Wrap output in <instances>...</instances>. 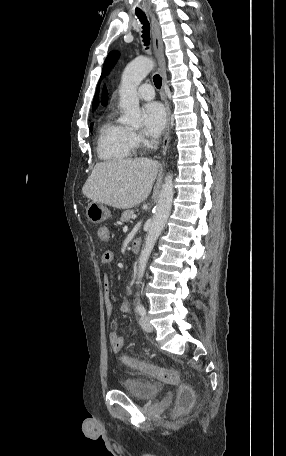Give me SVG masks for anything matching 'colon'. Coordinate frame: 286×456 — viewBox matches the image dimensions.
<instances>
[{
    "mask_svg": "<svg viewBox=\"0 0 286 456\" xmlns=\"http://www.w3.org/2000/svg\"><path fill=\"white\" fill-rule=\"evenodd\" d=\"M123 362L133 368L138 369L142 373L154 377L162 382L180 385L179 374L173 369H167L156 366L154 364L135 359L130 356H124ZM178 405L183 408H189L193 403V392L189 387L181 386L177 396Z\"/></svg>",
    "mask_w": 286,
    "mask_h": 456,
    "instance_id": "colon-1",
    "label": "colon"
}]
</instances>
